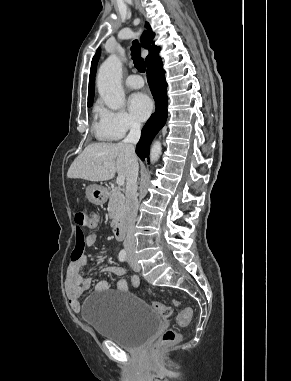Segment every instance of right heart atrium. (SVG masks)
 <instances>
[{"mask_svg":"<svg viewBox=\"0 0 291 381\" xmlns=\"http://www.w3.org/2000/svg\"><path fill=\"white\" fill-rule=\"evenodd\" d=\"M99 118L105 134L113 140L140 129V123L123 109L99 108Z\"/></svg>","mask_w":291,"mask_h":381,"instance_id":"1","label":"right heart atrium"}]
</instances>
